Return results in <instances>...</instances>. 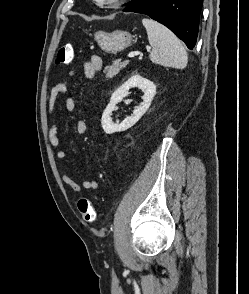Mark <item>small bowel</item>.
Here are the masks:
<instances>
[{
    "instance_id": "small-bowel-1",
    "label": "small bowel",
    "mask_w": 249,
    "mask_h": 294,
    "mask_svg": "<svg viewBox=\"0 0 249 294\" xmlns=\"http://www.w3.org/2000/svg\"><path fill=\"white\" fill-rule=\"evenodd\" d=\"M103 68V60L97 55H92L88 61L83 62L76 69L69 71V77L72 78L78 71H82L86 78L92 79L95 75ZM69 80L63 81L56 86L50 92L48 98V113L51 115L54 111L56 103L59 97L65 95L68 92ZM65 108L67 111L72 112L76 108V102L72 97H68L65 100ZM76 131L78 134H85L88 131V124L84 120H79L76 124ZM50 144L58 148L56 157L60 161H64L67 158L66 150L60 147V137L58 133V125L56 121H53L48 131ZM61 181L68 186L73 192L80 193L83 189L85 190H96L99 188V182L97 180H83L78 183L72 178L66 171L61 172Z\"/></svg>"
}]
</instances>
